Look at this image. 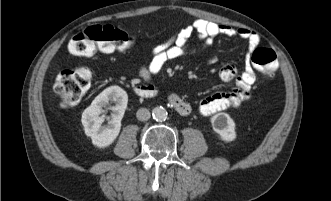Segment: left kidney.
Here are the masks:
<instances>
[{"label":"left kidney","instance_id":"5707ae66","mask_svg":"<svg viewBox=\"0 0 331 201\" xmlns=\"http://www.w3.org/2000/svg\"><path fill=\"white\" fill-rule=\"evenodd\" d=\"M213 130L223 141L231 142L236 138L235 122L227 113H218L211 118Z\"/></svg>","mask_w":331,"mask_h":201}]
</instances>
